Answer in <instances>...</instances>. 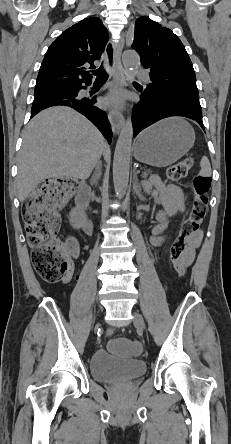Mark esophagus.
<instances>
[{
	"label": "esophagus",
	"mask_w": 231,
	"mask_h": 444,
	"mask_svg": "<svg viewBox=\"0 0 231 444\" xmlns=\"http://www.w3.org/2000/svg\"><path fill=\"white\" fill-rule=\"evenodd\" d=\"M124 45V38H122L117 44L110 41L105 48V58L107 66L112 71V87L123 88L124 86V72L121 63V50ZM108 118L111 123L112 129L115 134H118L124 124V116L120 110H109Z\"/></svg>",
	"instance_id": "1"
}]
</instances>
